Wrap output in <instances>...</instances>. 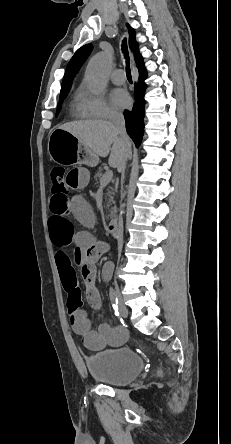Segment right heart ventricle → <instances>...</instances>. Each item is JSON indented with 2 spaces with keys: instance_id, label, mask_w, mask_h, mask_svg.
<instances>
[{
  "instance_id": "right-heart-ventricle-1",
  "label": "right heart ventricle",
  "mask_w": 231,
  "mask_h": 444,
  "mask_svg": "<svg viewBox=\"0 0 231 444\" xmlns=\"http://www.w3.org/2000/svg\"><path fill=\"white\" fill-rule=\"evenodd\" d=\"M76 114H77L79 117H85V116L83 115V113H82V112L80 111V109H79V99H78V101H77Z\"/></svg>"
}]
</instances>
